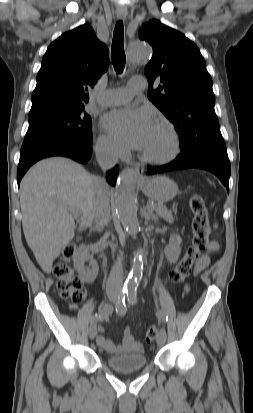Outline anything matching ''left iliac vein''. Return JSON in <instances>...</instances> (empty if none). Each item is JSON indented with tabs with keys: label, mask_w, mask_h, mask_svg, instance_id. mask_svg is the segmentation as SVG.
I'll list each match as a JSON object with an SVG mask.
<instances>
[{
	"label": "left iliac vein",
	"mask_w": 253,
	"mask_h": 413,
	"mask_svg": "<svg viewBox=\"0 0 253 413\" xmlns=\"http://www.w3.org/2000/svg\"><path fill=\"white\" fill-rule=\"evenodd\" d=\"M167 339V334H166V330L164 328L160 329L158 335H157V344L159 346L164 345V343L166 342Z\"/></svg>",
	"instance_id": "4c4485c4"
}]
</instances>
